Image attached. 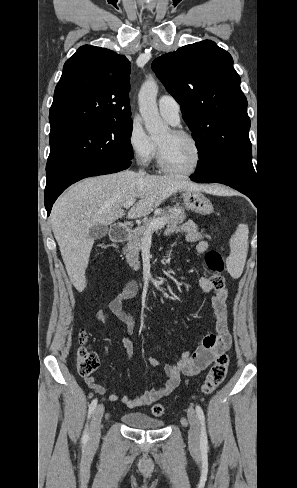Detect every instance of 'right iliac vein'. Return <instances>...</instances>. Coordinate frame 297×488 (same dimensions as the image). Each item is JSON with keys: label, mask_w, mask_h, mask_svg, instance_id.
<instances>
[{"label": "right iliac vein", "mask_w": 297, "mask_h": 488, "mask_svg": "<svg viewBox=\"0 0 297 488\" xmlns=\"http://www.w3.org/2000/svg\"><path fill=\"white\" fill-rule=\"evenodd\" d=\"M104 414V406L102 404L98 405L93 413L90 432H89V445L95 447L100 439L101 435V421Z\"/></svg>", "instance_id": "obj_1"}]
</instances>
